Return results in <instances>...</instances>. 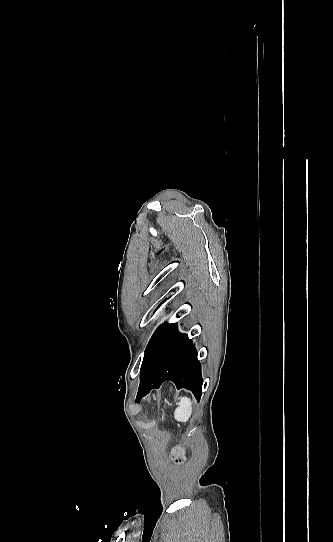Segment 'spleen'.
Segmentation results:
<instances>
[{"instance_id": "spleen-1", "label": "spleen", "mask_w": 333, "mask_h": 542, "mask_svg": "<svg viewBox=\"0 0 333 542\" xmlns=\"http://www.w3.org/2000/svg\"><path fill=\"white\" fill-rule=\"evenodd\" d=\"M193 414L192 400L190 398H181L179 408L174 412V418L177 422H188Z\"/></svg>"}]
</instances>
